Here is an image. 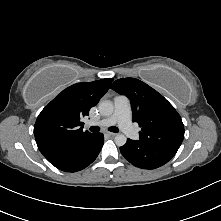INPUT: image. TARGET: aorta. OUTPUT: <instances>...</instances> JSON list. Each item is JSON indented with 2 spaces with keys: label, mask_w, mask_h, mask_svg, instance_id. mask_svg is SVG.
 I'll return each mask as SVG.
<instances>
[{
  "label": "aorta",
  "mask_w": 221,
  "mask_h": 221,
  "mask_svg": "<svg viewBox=\"0 0 221 221\" xmlns=\"http://www.w3.org/2000/svg\"><path fill=\"white\" fill-rule=\"evenodd\" d=\"M99 111L102 115L109 116L114 111V106L111 101L105 100L99 103ZM117 146H123L127 142V138L123 134H117L114 139Z\"/></svg>",
  "instance_id": "1"
}]
</instances>
